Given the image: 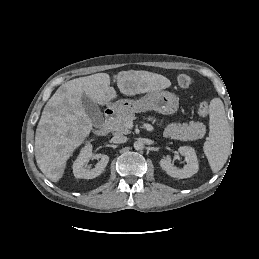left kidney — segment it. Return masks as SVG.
<instances>
[{"mask_svg":"<svg viewBox=\"0 0 259 259\" xmlns=\"http://www.w3.org/2000/svg\"><path fill=\"white\" fill-rule=\"evenodd\" d=\"M178 151L185 157L187 164L182 169H179L171 163V156L167 155L160 160L161 168L169 176L178 179L189 178L196 174L199 170V163L195 150L189 146H181Z\"/></svg>","mask_w":259,"mask_h":259,"instance_id":"1","label":"left kidney"}]
</instances>
